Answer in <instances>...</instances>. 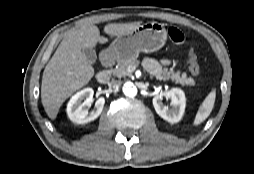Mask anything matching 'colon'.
<instances>
[{
	"mask_svg": "<svg viewBox=\"0 0 254 174\" xmlns=\"http://www.w3.org/2000/svg\"><path fill=\"white\" fill-rule=\"evenodd\" d=\"M168 35L173 43L181 44L185 41V36L183 32L177 27L169 28ZM188 64L189 70L193 76H200L201 68L198 62V57L193 49L188 52Z\"/></svg>",
	"mask_w": 254,
	"mask_h": 174,
	"instance_id": "colon-1",
	"label": "colon"
}]
</instances>
